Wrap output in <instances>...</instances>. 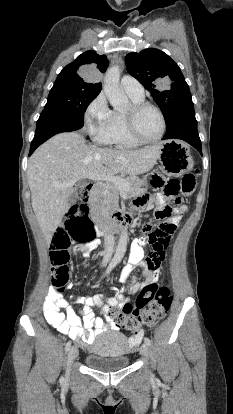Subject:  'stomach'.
<instances>
[{"mask_svg":"<svg viewBox=\"0 0 233 414\" xmlns=\"http://www.w3.org/2000/svg\"><path fill=\"white\" fill-rule=\"evenodd\" d=\"M160 144L158 160L163 170L170 175L180 176L192 169L193 160L185 145L175 140L163 141Z\"/></svg>","mask_w":233,"mask_h":414,"instance_id":"1","label":"stomach"}]
</instances>
